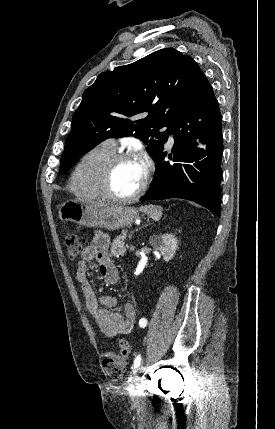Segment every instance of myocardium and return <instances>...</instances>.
<instances>
[{
    "label": "myocardium",
    "instance_id": "myocardium-1",
    "mask_svg": "<svg viewBox=\"0 0 275 429\" xmlns=\"http://www.w3.org/2000/svg\"><path fill=\"white\" fill-rule=\"evenodd\" d=\"M133 159H137L135 154L130 152H121L113 154L106 160L98 178V189L102 198L113 202L126 203L138 199L144 193L149 180V171L147 167L140 187L131 195L118 196L111 190V178L116 166L121 162Z\"/></svg>",
    "mask_w": 275,
    "mask_h": 429
}]
</instances>
